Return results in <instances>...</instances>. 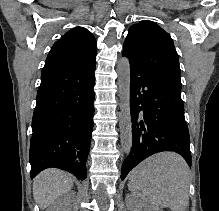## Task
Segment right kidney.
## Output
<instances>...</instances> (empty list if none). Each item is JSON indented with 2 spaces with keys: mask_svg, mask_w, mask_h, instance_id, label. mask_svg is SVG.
I'll list each match as a JSON object with an SVG mask.
<instances>
[{
  "mask_svg": "<svg viewBox=\"0 0 219 211\" xmlns=\"http://www.w3.org/2000/svg\"><path fill=\"white\" fill-rule=\"evenodd\" d=\"M68 203L69 197L64 193V195H61V197H58V199H55V201L51 203L47 211H68Z\"/></svg>",
  "mask_w": 219,
  "mask_h": 211,
  "instance_id": "ca27d5eb",
  "label": "right kidney"
}]
</instances>
